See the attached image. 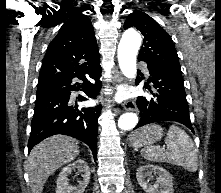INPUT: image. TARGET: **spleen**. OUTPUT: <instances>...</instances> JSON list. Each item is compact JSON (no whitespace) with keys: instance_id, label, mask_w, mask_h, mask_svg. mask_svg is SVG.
<instances>
[{"instance_id":"spleen-1","label":"spleen","mask_w":221,"mask_h":193,"mask_svg":"<svg viewBox=\"0 0 221 193\" xmlns=\"http://www.w3.org/2000/svg\"><path fill=\"white\" fill-rule=\"evenodd\" d=\"M167 149L149 146L141 150V155L153 162H167L182 166L189 171L198 168L197 150L190 136L178 126H170L167 138Z\"/></svg>"}]
</instances>
